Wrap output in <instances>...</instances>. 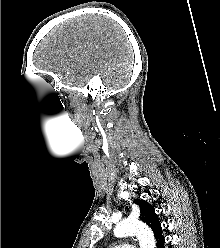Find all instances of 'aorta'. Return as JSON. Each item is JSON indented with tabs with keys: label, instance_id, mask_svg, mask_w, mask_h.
Returning <instances> with one entry per match:
<instances>
[{
	"label": "aorta",
	"instance_id": "obj_1",
	"mask_svg": "<svg viewBox=\"0 0 220 248\" xmlns=\"http://www.w3.org/2000/svg\"><path fill=\"white\" fill-rule=\"evenodd\" d=\"M115 237L135 235L139 240L140 248H155L156 242L151 229L138 220L125 219L118 223L114 229Z\"/></svg>",
	"mask_w": 220,
	"mask_h": 248
}]
</instances>
